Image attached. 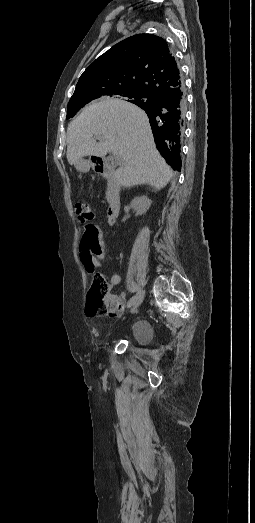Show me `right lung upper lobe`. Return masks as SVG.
<instances>
[{
    "mask_svg": "<svg viewBox=\"0 0 255 523\" xmlns=\"http://www.w3.org/2000/svg\"><path fill=\"white\" fill-rule=\"evenodd\" d=\"M139 91L146 100L133 102L144 109L157 149L174 169L181 166L180 147L185 113L184 83L179 66L167 42L152 34L131 36L98 57L81 75L68 106ZM179 96L182 106L177 111L178 128L170 144L158 140L157 124L152 118L154 106L166 98Z\"/></svg>",
    "mask_w": 255,
    "mask_h": 523,
    "instance_id": "obj_1",
    "label": "right lung upper lobe"
}]
</instances>
